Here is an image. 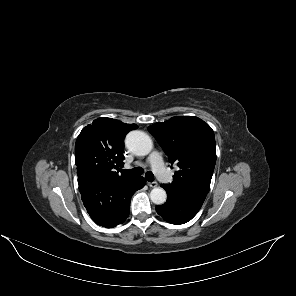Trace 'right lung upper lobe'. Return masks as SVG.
Segmentation results:
<instances>
[{"label":"right lung upper lobe","mask_w":296,"mask_h":296,"mask_svg":"<svg viewBox=\"0 0 296 296\" xmlns=\"http://www.w3.org/2000/svg\"><path fill=\"white\" fill-rule=\"evenodd\" d=\"M138 128L111 118H98L84 127L75 144L77 172H86L102 182H121L133 177L118 175L124 165L123 140Z\"/></svg>","instance_id":"cb5924a9"}]
</instances>
